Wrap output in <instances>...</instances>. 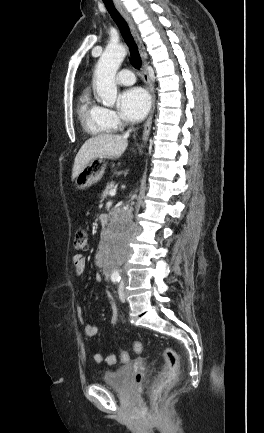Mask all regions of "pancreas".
<instances>
[{"label": "pancreas", "mask_w": 264, "mask_h": 433, "mask_svg": "<svg viewBox=\"0 0 264 433\" xmlns=\"http://www.w3.org/2000/svg\"><path fill=\"white\" fill-rule=\"evenodd\" d=\"M115 188L114 182L107 183L106 188L101 194V201L105 200L109 196L110 191L115 190Z\"/></svg>", "instance_id": "pancreas-1"}]
</instances>
